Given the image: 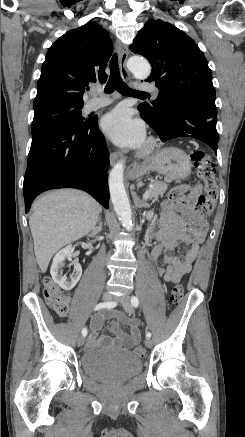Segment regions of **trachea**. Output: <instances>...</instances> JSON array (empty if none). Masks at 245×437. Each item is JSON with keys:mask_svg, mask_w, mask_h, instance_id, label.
<instances>
[{"mask_svg": "<svg viewBox=\"0 0 245 437\" xmlns=\"http://www.w3.org/2000/svg\"><path fill=\"white\" fill-rule=\"evenodd\" d=\"M118 56L114 54L110 61V76L105 86V93L111 94L114 90L126 96H141L149 95L146 92L136 91L130 88L121 78L118 65Z\"/></svg>", "mask_w": 245, "mask_h": 437, "instance_id": "obj_1", "label": "trachea"}]
</instances>
